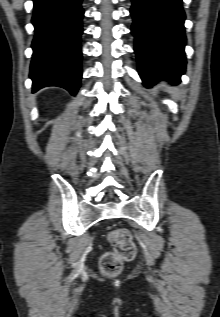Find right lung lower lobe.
<instances>
[{
  "label": "right lung lower lobe",
  "instance_id": "right-lung-lower-lobe-1",
  "mask_svg": "<svg viewBox=\"0 0 220 317\" xmlns=\"http://www.w3.org/2000/svg\"><path fill=\"white\" fill-rule=\"evenodd\" d=\"M82 0H33L35 37L30 78L33 92L59 86L75 95L80 87Z\"/></svg>",
  "mask_w": 220,
  "mask_h": 317
}]
</instances>
